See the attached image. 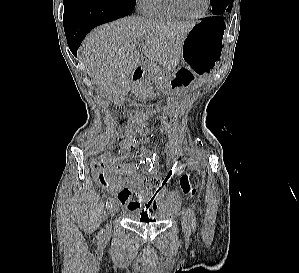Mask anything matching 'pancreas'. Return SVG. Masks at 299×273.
<instances>
[{
	"instance_id": "obj_1",
	"label": "pancreas",
	"mask_w": 299,
	"mask_h": 273,
	"mask_svg": "<svg viewBox=\"0 0 299 273\" xmlns=\"http://www.w3.org/2000/svg\"><path fill=\"white\" fill-rule=\"evenodd\" d=\"M156 68H157L156 65L152 64L150 65L149 70L153 73L154 70H156ZM150 90H151L150 83L146 79H143L138 83V86L135 88V93L144 94Z\"/></svg>"
}]
</instances>
